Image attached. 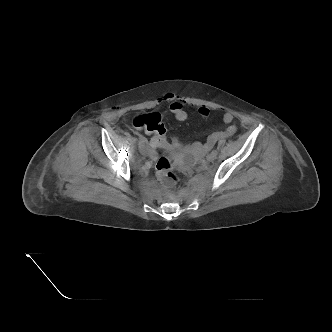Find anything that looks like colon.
<instances>
[{
    "instance_id": "obj_1",
    "label": "colon",
    "mask_w": 332,
    "mask_h": 332,
    "mask_svg": "<svg viewBox=\"0 0 332 332\" xmlns=\"http://www.w3.org/2000/svg\"><path fill=\"white\" fill-rule=\"evenodd\" d=\"M134 125L153 134L160 147L167 146L166 129L159 113L151 112L139 115L134 119ZM155 170L157 178L163 183L175 185L179 180L171 161L166 157L158 159Z\"/></svg>"
}]
</instances>
